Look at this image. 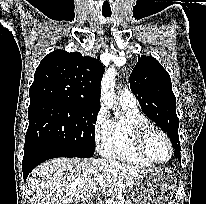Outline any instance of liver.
<instances>
[{
	"mask_svg": "<svg viewBox=\"0 0 206 204\" xmlns=\"http://www.w3.org/2000/svg\"><path fill=\"white\" fill-rule=\"evenodd\" d=\"M148 169L108 159L56 158L36 167L27 180L31 204L86 202L96 191L115 195L131 187ZM104 180L96 181L97 176Z\"/></svg>",
	"mask_w": 206,
	"mask_h": 204,
	"instance_id": "6515ba94",
	"label": "liver"
}]
</instances>
